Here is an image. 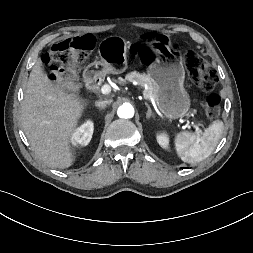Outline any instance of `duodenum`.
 <instances>
[{"label":"duodenum","mask_w":253,"mask_h":253,"mask_svg":"<svg viewBox=\"0 0 253 253\" xmlns=\"http://www.w3.org/2000/svg\"><path fill=\"white\" fill-rule=\"evenodd\" d=\"M99 85V80L94 75L90 74L87 78V86L91 90H96Z\"/></svg>","instance_id":"duodenum-1"}]
</instances>
